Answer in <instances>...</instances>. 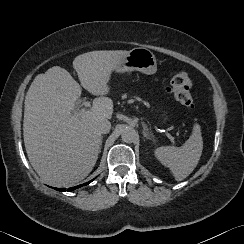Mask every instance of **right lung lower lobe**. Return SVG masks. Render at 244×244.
<instances>
[{
    "instance_id": "1",
    "label": "right lung lower lobe",
    "mask_w": 244,
    "mask_h": 244,
    "mask_svg": "<svg viewBox=\"0 0 244 244\" xmlns=\"http://www.w3.org/2000/svg\"><path fill=\"white\" fill-rule=\"evenodd\" d=\"M90 182H92V180L89 181V182H87V183L78 185V186H76V187H71V188H69L67 191H72V190H74V189H76V188H79V187H81V186L88 185ZM55 189L58 190V191H65V190H66V188H55Z\"/></svg>"
}]
</instances>
